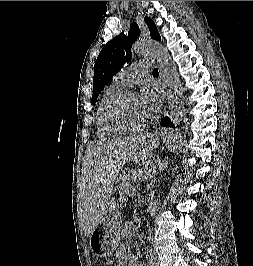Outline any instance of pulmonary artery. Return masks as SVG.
<instances>
[{"instance_id":"obj_1","label":"pulmonary artery","mask_w":253,"mask_h":266,"mask_svg":"<svg viewBox=\"0 0 253 266\" xmlns=\"http://www.w3.org/2000/svg\"><path fill=\"white\" fill-rule=\"evenodd\" d=\"M151 62L149 61H136L129 65L126 69L122 70L116 77V81L123 86L133 85L142 75L146 74L149 70Z\"/></svg>"}]
</instances>
